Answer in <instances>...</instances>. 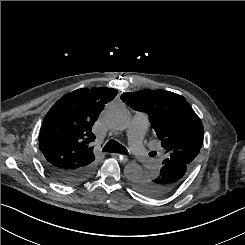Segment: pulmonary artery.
<instances>
[{
	"instance_id": "obj_1",
	"label": "pulmonary artery",
	"mask_w": 245,
	"mask_h": 245,
	"mask_svg": "<svg viewBox=\"0 0 245 245\" xmlns=\"http://www.w3.org/2000/svg\"><path fill=\"white\" fill-rule=\"evenodd\" d=\"M149 125L148 116L144 113H137L132 118L128 128V139L132 151L141 164L149 167L146 148L142 144V138Z\"/></svg>"
}]
</instances>
